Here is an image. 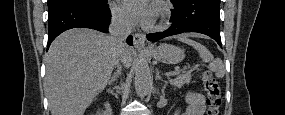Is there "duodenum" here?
<instances>
[{
  "label": "duodenum",
  "mask_w": 285,
  "mask_h": 115,
  "mask_svg": "<svg viewBox=\"0 0 285 115\" xmlns=\"http://www.w3.org/2000/svg\"><path fill=\"white\" fill-rule=\"evenodd\" d=\"M105 114H110L108 106L105 107Z\"/></svg>",
  "instance_id": "410a0bca"
}]
</instances>
